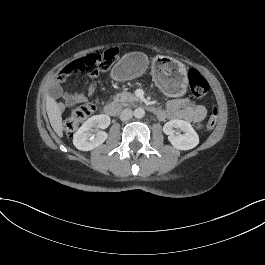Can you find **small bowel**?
Segmentation results:
<instances>
[{"label": "small bowel", "instance_id": "obj_1", "mask_svg": "<svg viewBox=\"0 0 265 265\" xmlns=\"http://www.w3.org/2000/svg\"><path fill=\"white\" fill-rule=\"evenodd\" d=\"M97 75V71H92L89 74L90 83L88 85L87 94L80 92L63 93L61 87L58 84H54L51 87V93L54 96L62 95L64 98V104L59 105L60 109H63L64 107H72L76 104L85 102L87 100V95H91L95 90L94 79ZM206 114L207 110L205 106L194 104L186 98H178L168 101L166 108L160 110L159 116L163 119L193 122L198 128H200Z\"/></svg>", "mask_w": 265, "mask_h": 265}]
</instances>
